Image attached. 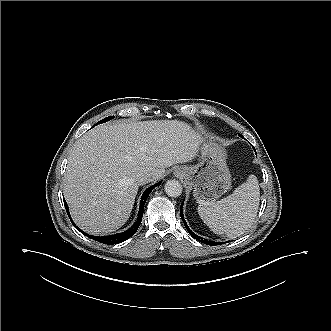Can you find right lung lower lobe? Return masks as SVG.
Listing matches in <instances>:
<instances>
[{
	"instance_id": "98d812e1",
	"label": "right lung lower lobe",
	"mask_w": 331,
	"mask_h": 331,
	"mask_svg": "<svg viewBox=\"0 0 331 331\" xmlns=\"http://www.w3.org/2000/svg\"><path fill=\"white\" fill-rule=\"evenodd\" d=\"M159 184H161V182L156 183V184L152 185L151 187H149L147 190H145V192L143 193L142 198H141V203H140V206H139V213H138L137 221L135 222V224L129 230H127L123 233H119V234H115V235H109V236L96 237V236L88 235L87 233L81 231V229L76 227V225L73 223V221H72V223L80 232H82L84 235L88 236L89 238H92L93 240H96V241L101 242L103 244H110V245L121 243V242L129 239L131 236H133L136 233L138 227L140 226L141 220H142L144 205H145V202L147 200V197L150 194V192L156 186H158ZM64 205H65V208L67 210V214L70 218L67 203L65 202Z\"/></svg>"
}]
</instances>
